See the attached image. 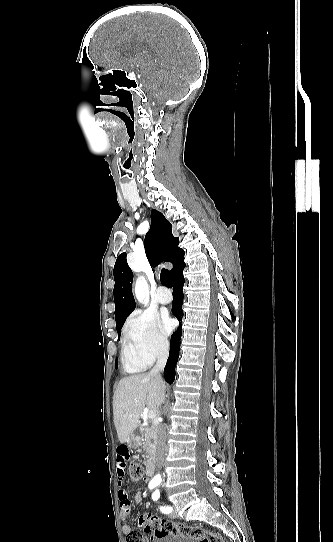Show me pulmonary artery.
<instances>
[{"instance_id":"1","label":"pulmonary artery","mask_w":333,"mask_h":542,"mask_svg":"<svg viewBox=\"0 0 333 542\" xmlns=\"http://www.w3.org/2000/svg\"><path fill=\"white\" fill-rule=\"evenodd\" d=\"M170 290L169 289H166L165 286H160L159 287V292L157 294V300L160 304L162 305H167L171 302V298H170Z\"/></svg>"}]
</instances>
